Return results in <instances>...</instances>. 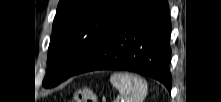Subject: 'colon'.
Instances as JSON below:
<instances>
[{
    "label": "colon",
    "instance_id": "obj_1",
    "mask_svg": "<svg viewBox=\"0 0 221 102\" xmlns=\"http://www.w3.org/2000/svg\"><path fill=\"white\" fill-rule=\"evenodd\" d=\"M73 102H97V97L91 89L81 88L75 92Z\"/></svg>",
    "mask_w": 221,
    "mask_h": 102
}]
</instances>
